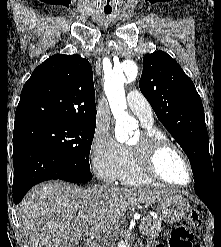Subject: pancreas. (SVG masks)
Returning <instances> with one entry per match:
<instances>
[{"label":"pancreas","instance_id":"cf45deb5","mask_svg":"<svg viewBox=\"0 0 221 247\" xmlns=\"http://www.w3.org/2000/svg\"><path fill=\"white\" fill-rule=\"evenodd\" d=\"M139 230L142 235L154 237L161 231V220L152 216L144 217L141 219Z\"/></svg>","mask_w":221,"mask_h":247}]
</instances>
